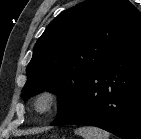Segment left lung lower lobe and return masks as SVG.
Masks as SVG:
<instances>
[{"label": "left lung lower lobe", "mask_w": 141, "mask_h": 139, "mask_svg": "<svg viewBox=\"0 0 141 139\" xmlns=\"http://www.w3.org/2000/svg\"><path fill=\"white\" fill-rule=\"evenodd\" d=\"M92 125L123 139H141V30L86 78L52 126Z\"/></svg>", "instance_id": "0a47b994"}]
</instances>
